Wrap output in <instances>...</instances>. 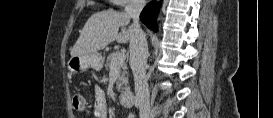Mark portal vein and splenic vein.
Returning <instances> with one entry per match:
<instances>
[{
	"mask_svg": "<svg viewBox=\"0 0 273 118\" xmlns=\"http://www.w3.org/2000/svg\"><path fill=\"white\" fill-rule=\"evenodd\" d=\"M118 59L119 60H125V54L123 52L118 53ZM115 65H113L111 68H113Z\"/></svg>",
	"mask_w": 273,
	"mask_h": 118,
	"instance_id": "1",
	"label": "portal vein and splenic vein"
}]
</instances>
